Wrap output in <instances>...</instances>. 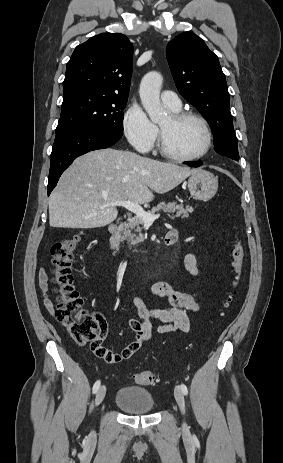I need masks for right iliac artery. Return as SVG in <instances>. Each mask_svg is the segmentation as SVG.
<instances>
[{
    "label": "right iliac artery",
    "mask_w": 283,
    "mask_h": 463,
    "mask_svg": "<svg viewBox=\"0 0 283 463\" xmlns=\"http://www.w3.org/2000/svg\"><path fill=\"white\" fill-rule=\"evenodd\" d=\"M100 387V380L96 381L93 385V393H96Z\"/></svg>",
    "instance_id": "obj_1"
}]
</instances>
